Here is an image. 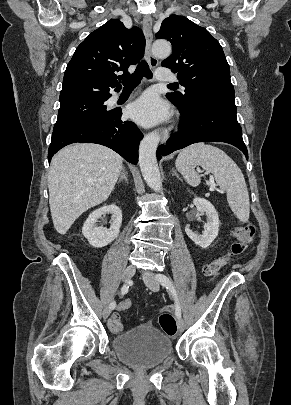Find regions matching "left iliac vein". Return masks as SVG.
Listing matches in <instances>:
<instances>
[{
	"label": "left iliac vein",
	"instance_id": "obj_1",
	"mask_svg": "<svg viewBox=\"0 0 291 405\" xmlns=\"http://www.w3.org/2000/svg\"><path fill=\"white\" fill-rule=\"evenodd\" d=\"M143 281L146 286L152 291L157 292L159 290V282L151 272L147 271L143 273ZM177 326L179 332H182L184 330L185 325L181 317L178 318Z\"/></svg>",
	"mask_w": 291,
	"mask_h": 405
}]
</instances>
